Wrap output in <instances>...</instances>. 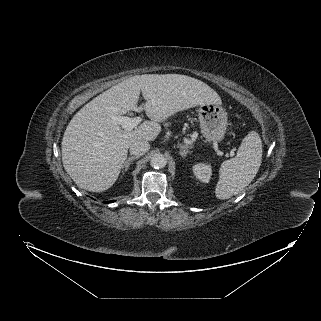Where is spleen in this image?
<instances>
[{
	"mask_svg": "<svg viewBox=\"0 0 321 321\" xmlns=\"http://www.w3.org/2000/svg\"><path fill=\"white\" fill-rule=\"evenodd\" d=\"M261 161L262 141L257 132L251 131L243 139L236 157L221 164L216 197L225 200L242 192L256 176Z\"/></svg>",
	"mask_w": 321,
	"mask_h": 321,
	"instance_id": "spleen-1",
	"label": "spleen"
}]
</instances>
